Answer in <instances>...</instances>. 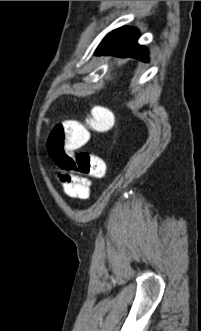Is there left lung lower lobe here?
Here are the masks:
<instances>
[{"mask_svg":"<svg viewBox=\"0 0 201 331\" xmlns=\"http://www.w3.org/2000/svg\"><path fill=\"white\" fill-rule=\"evenodd\" d=\"M138 36V31L132 27L113 30L102 40L95 54L132 57L147 62L148 52L146 48L137 44Z\"/></svg>","mask_w":201,"mask_h":331,"instance_id":"left-lung-lower-lobe-1","label":"left lung lower lobe"}]
</instances>
